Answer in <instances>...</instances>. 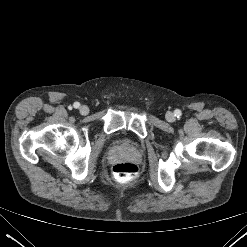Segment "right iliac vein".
<instances>
[{
    "label": "right iliac vein",
    "instance_id": "obj_1",
    "mask_svg": "<svg viewBox=\"0 0 247 247\" xmlns=\"http://www.w3.org/2000/svg\"><path fill=\"white\" fill-rule=\"evenodd\" d=\"M79 111L82 115H87L89 113V108L87 106H81Z\"/></svg>",
    "mask_w": 247,
    "mask_h": 247
}]
</instances>
